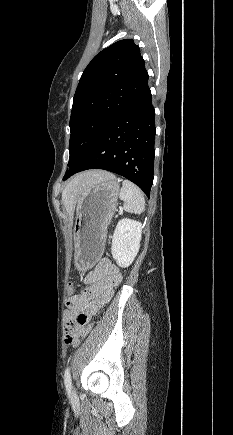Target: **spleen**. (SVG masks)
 <instances>
[{
  "label": "spleen",
  "mask_w": 233,
  "mask_h": 435,
  "mask_svg": "<svg viewBox=\"0 0 233 435\" xmlns=\"http://www.w3.org/2000/svg\"><path fill=\"white\" fill-rule=\"evenodd\" d=\"M119 198L124 202V210L141 214L145 209V198L141 189L129 180L122 182Z\"/></svg>",
  "instance_id": "3e777b00"
}]
</instances>
